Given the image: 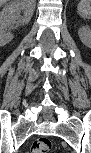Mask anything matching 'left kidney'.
I'll return each mask as SVG.
<instances>
[{"instance_id": "5707ae66", "label": "left kidney", "mask_w": 91, "mask_h": 153, "mask_svg": "<svg viewBox=\"0 0 91 153\" xmlns=\"http://www.w3.org/2000/svg\"><path fill=\"white\" fill-rule=\"evenodd\" d=\"M78 35L85 46H91V30L89 26H83L82 28H80L78 31Z\"/></svg>"}]
</instances>
